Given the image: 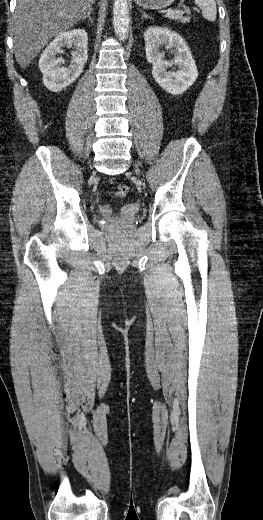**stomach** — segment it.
Returning a JSON list of instances; mask_svg holds the SVG:
<instances>
[{
    "label": "stomach",
    "instance_id": "1",
    "mask_svg": "<svg viewBox=\"0 0 263 520\" xmlns=\"http://www.w3.org/2000/svg\"><path fill=\"white\" fill-rule=\"evenodd\" d=\"M144 9H163L174 3L175 0H134Z\"/></svg>",
    "mask_w": 263,
    "mask_h": 520
}]
</instances>
